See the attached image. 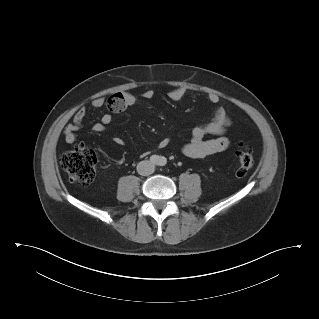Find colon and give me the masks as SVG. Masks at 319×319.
Segmentation results:
<instances>
[{
  "instance_id": "5ec220e1",
  "label": "colon",
  "mask_w": 319,
  "mask_h": 319,
  "mask_svg": "<svg viewBox=\"0 0 319 319\" xmlns=\"http://www.w3.org/2000/svg\"><path fill=\"white\" fill-rule=\"evenodd\" d=\"M120 98L121 95L116 94L110 99V106L114 111L122 110V106L116 104ZM236 157V174L242 177L254 166L253 151L250 147L242 145L237 150ZM59 163L71 181L87 186L95 178L97 154L89 146L78 145L75 149L64 152L59 158Z\"/></svg>"
}]
</instances>
